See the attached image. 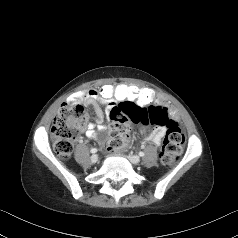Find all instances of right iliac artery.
Segmentation results:
<instances>
[{"instance_id":"82829eb1","label":"right iliac artery","mask_w":238,"mask_h":238,"mask_svg":"<svg viewBox=\"0 0 238 238\" xmlns=\"http://www.w3.org/2000/svg\"><path fill=\"white\" fill-rule=\"evenodd\" d=\"M90 152H91V153H96V152H97V149H96V148H92V149L90 150Z\"/></svg>"}]
</instances>
